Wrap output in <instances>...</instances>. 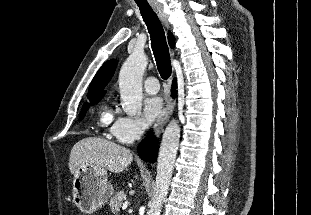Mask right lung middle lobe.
Here are the masks:
<instances>
[{"label": "right lung middle lobe", "instance_id": "dd1d6c3e", "mask_svg": "<svg viewBox=\"0 0 311 215\" xmlns=\"http://www.w3.org/2000/svg\"><path fill=\"white\" fill-rule=\"evenodd\" d=\"M101 98H102V97H97V98H91V99H89V100H90L91 104H94V103L99 102V101L101 100ZM88 107H89V104H88V103H85V104L83 105V108H82V110H81L80 118H79V119H82V118L84 117V115H85V113H86Z\"/></svg>", "mask_w": 311, "mask_h": 215}]
</instances>
